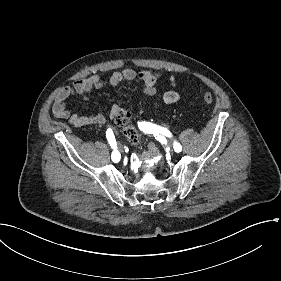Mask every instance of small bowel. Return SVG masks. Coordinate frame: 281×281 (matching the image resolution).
<instances>
[{
	"mask_svg": "<svg viewBox=\"0 0 281 281\" xmlns=\"http://www.w3.org/2000/svg\"><path fill=\"white\" fill-rule=\"evenodd\" d=\"M160 77V73L152 70L136 71L132 68H125L121 71L113 72L109 78L103 79L98 75L77 80L71 87L63 88L57 95L53 105V114L57 118L66 120L74 127H85L91 125H103L108 120H115L119 113L127 111L119 106L113 105L110 109L108 118L102 113H92L80 115L72 113L67 106V100L73 96H79L84 100L89 98L93 90H99L107 85L117 86L122 82L140 81L143 84V91L146 95L152 96L156 93L155 84ZM172 88L176 86V78L171 75L169 78ZM179 99V94L175 89L164 93L163 101L165 104H173Z\"/></svg>",
	"mask_w": 281,
	"mask_h": 281,
	"instance_id": "small-bowel-1",
	"label": "small bowel"
}]
</instances>
